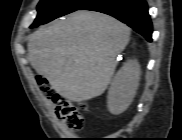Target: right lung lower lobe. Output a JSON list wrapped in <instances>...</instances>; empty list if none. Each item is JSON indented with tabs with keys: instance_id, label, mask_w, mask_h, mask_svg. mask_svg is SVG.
<instances>
[{
	"instance_id": "right-lung-lower-lobe-1",
	"label": "right lung lower lobe",
	"mask_w": 182,
	"mask_h": 140,
	"mask_svg": "<svg viewBox=\"0 0 182 140\" xmlns=\"http://www.w3.org/2000/svg\"><path fill=\"white\" fill-rule=\"evenodd\" d=\"M78 10L111 15L152 41V23L145 0H90Z\"/></svg>"
}]
</instances>
